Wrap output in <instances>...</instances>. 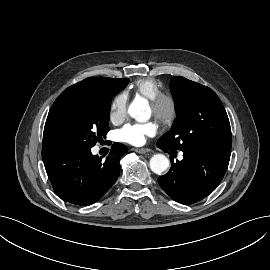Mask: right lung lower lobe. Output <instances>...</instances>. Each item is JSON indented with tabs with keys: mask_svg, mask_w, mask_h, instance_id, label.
<instances>
[{
	"mask_svg": "<svg viewBox=\"0 0 270 270\" xmlns=\"http://www.w3.org/2000/svg\"><path fill=\"white\" fill-rule=\"evenodd\" d=\"M127 151L125 145L115 143L102 162L91 148L50 146L42 148V159L54 192L64 201L88 206L114 184L120 158Z\"/></svg>",
	"mask_w": 270,
	"mask_h": 270,
	"instance_id": "98d812e1",
	"label": "right lung lower lobe"
}]
</instances>
